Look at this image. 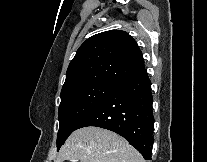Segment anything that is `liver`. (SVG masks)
<instances>
[{
	"mask_svg": "<svg viewBox=\"0 0 207 162\" xmlns=\"http://www.w3.org/2000/svg\"><path fill=\"white\" fill-rule=\"evenodd\" d=\"M145 162L120 135L100 127L75 130L61 147L55 162Z\"/></svg>",
	"mask_w": 207,
	"mask_h": 162,
	"instance_id": "liver-1",
	"label": "liver"
}]
</instances>
